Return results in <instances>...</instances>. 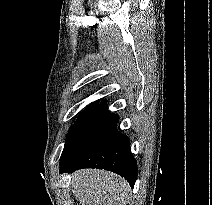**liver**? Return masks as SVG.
Instances as JSON below:
<instances>
[{"mask_svg": "<svg viewBox=\"0 0 212 205\" xmlns=\"http://www.w3.org/2000/svg\"><path fill=\"white\" fill-rule=\"evenodd\" d=\"M72 192L81 205H126L129 184L120 176L97 169L72 174Z\"/></svg>", "mask_w": 212, "mask_h": 205, "instance_id": "obj_1", "label": "liver"}]
</instances>
